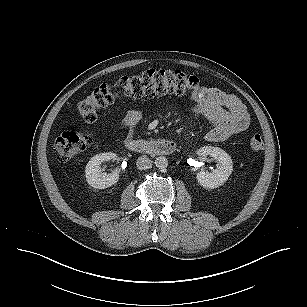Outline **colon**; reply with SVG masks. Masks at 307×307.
Masks as SVG:
<instances>
[{
	"label": "colon",
	"mask_w": 307,
	"mask_h": 307,
	"mask_svg": "<svg viewBox=\"0 0 307 307\" xmlns=\"http://www.w3.org/2000/svg\"><path fill=\"white\" fill-rule=\"evenodd\" d=\"M198 86V79L180 70H147L139 74L121 77L112 85L95 88L78 105L80 117L87 123H94L97 112L112 104L120 96L135 98H153L166 94L186 95ZM92 143L88 133L66 131L54 142L53 150L58 161L63 162L83 152ZM248 146L254 151L261 150L263 139L259 133H253Z\"/></svg>",
	"instance_id": "colon-1"
}]
</instances>
